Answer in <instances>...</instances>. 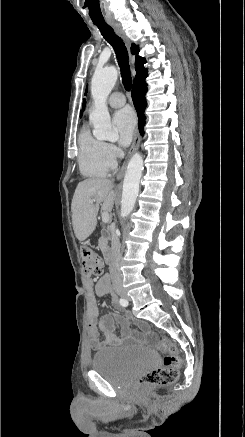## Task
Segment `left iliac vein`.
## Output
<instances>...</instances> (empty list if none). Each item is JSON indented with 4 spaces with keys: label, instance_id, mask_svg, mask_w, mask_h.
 <instances>
[{
    "label": "left iliac vein",
    "instance_id": "4c4485c4",
    "mask_svg": "<svg viewBox=\"0 0 245 437\" xmlns=\"http://www.w3.org/2000/svg\"><path fill=\"white\" fill-rule=\"evenodd\" d=\"M125 298H126L127 300H130V298H129L128 296H125Z\"/></svg>",
    "mask_w": 245,
    "mask_h": 437
}]
</instances>
